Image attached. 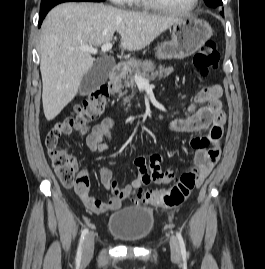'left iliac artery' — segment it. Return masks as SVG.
Returning <instances> with one entry per match:
<instances>
[{"instance_id": "1", "label": "left iliac artery", "mask_w": 265, "mask_h": 269, "mask_svg": "<svg viewBox=\"0 0 265 269\" xmlns=\"http://www.w3.org/2000/svg\"><path fill=\"white\" fill-rule=\"evenodd\" d=\"M176 236L179 241L182 257L183 259H186V247H185V242L183 240V237L180 232H176Z\"/></svg>"}]
</instances>
